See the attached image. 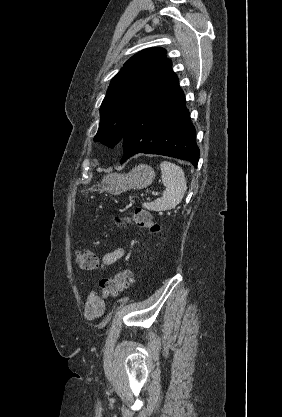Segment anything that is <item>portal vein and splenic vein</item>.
<instances>
[{
	"mask_svg": "<svg viewBox=\"0 0 282 417\" xmlns=\"http://www.w3.org/2000/svg\"><path fill=\"white\" fill-rule=\"evenodd\" d=\"M160 196H161L160 192H152L151 194L146 195L145 200L150 201L151 199H155L156 197H160Z\"/></svg>",
	"mask_w": 282,
	"mask_h": 417,
	"instance_id": "portal-vein-and-splenic-vein-1",
	"label": "portal vein and splenic vein"
}]
</instances>
